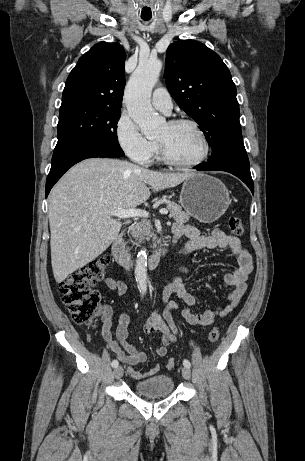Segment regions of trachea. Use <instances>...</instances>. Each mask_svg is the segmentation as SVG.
Masks as SVG:
<instances>
[{
    "instance_id": "3493384b",
    "label": "trachea",
    "mask_w": 305,
    "mask_h": 461,
    "mask_svg": "<svg viewBox=\"0 0 305 461\" xmlns=\"http://www.w3.org/2000/svg\"><path fill=\"white\" fill-rule=\"evenodd\" d=\"M144 21H148L150 20V18H142Z\"/></svg>"
}]
</instances>
